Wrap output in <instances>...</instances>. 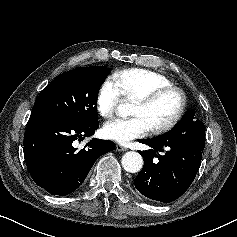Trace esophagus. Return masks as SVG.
I'll return each instance as SVG.
<instances>
[{"instance_id": "obj_1", "label": "esophagus", "mask_w": 237, "mask_h": 237, "mask_svg": "<svg viewBox=\"0 0 237 237\" xmlns=\"http://www.w3.org/2000/svg\"><path fill=\"white\" fill-rule=\"evenodd\" d=\"M116 150L119 151V152H124L127 150L126 147H123L122 145H117L116 146Z\"/></svg>"}]
</instances>
